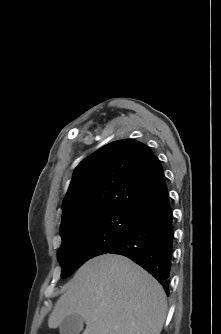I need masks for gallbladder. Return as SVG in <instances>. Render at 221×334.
<instances>
[{"instance_id":"1","label":"gallbladder","mask_w":221,"mask_h":334,"mask_svg":"<svg viewBox=\"0 0 221 334\" xmlns=\"http://www.w3.org/2000/svg\"><path fill=\"white\" fill-rule=\"evenodd\" d=\"M84 319L77 314L67 316L60 324V334H79L83 330Z\"/></svg>"}]
</instances>
